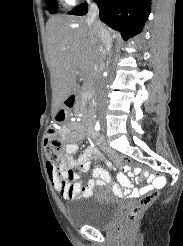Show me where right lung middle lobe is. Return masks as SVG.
I'll return each mask as SVG.
<instances>
[{
    "label": "right lung middle lobe",
    "mask_w": 183,
    "mask_h": 246,
    "mask_svg": "<svg viewBox=\"0 0 183 246\" xmlns=\"http://www.w3.org/2000/svg\"><path fill=\"white\" fill-rule=\"evenodd\" d=\"M47 7H48V11L50 13H56L57 12V7H58V3L56 0H44Z\"/></svg>",
    "instance_id": "1"
}]
</instances>
